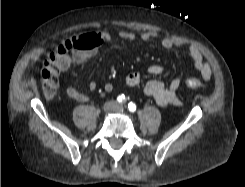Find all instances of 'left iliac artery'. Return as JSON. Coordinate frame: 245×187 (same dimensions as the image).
Wrapping results in <instances>:
<instances>
[{"label": "left iliac artery", "mask_w": 245, "mask_h": 187, "mask_svg": "<svg viewBox=\"0 0 245 187\" xmlns=\"http://www.w3.org/2000/svg\"><path fill=\"white\" fill-rule=\"evenodd\" d=\"M128 109L130 112H134L136 110V105L133 102L128 104Z\"/></svg>", "instance_id": "1"}]
</instances>
